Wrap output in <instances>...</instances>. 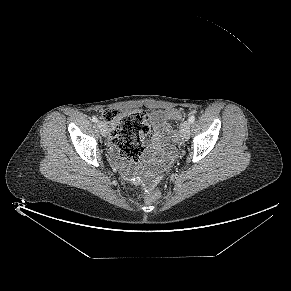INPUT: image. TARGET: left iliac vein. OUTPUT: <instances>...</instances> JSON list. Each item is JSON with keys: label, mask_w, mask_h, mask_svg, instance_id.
I'll return each mask as SVG.
<instances>
[{"label": "left iliac vein", "mask_w": 291, "mask_h": 291, "mask_svg": "<svg viewBox=\"0 0 291 291\" xmlns=\"http://www.w3.org/2000/svg\"><path fill=\"white\" fill-rule=\"evenodd\" d=\"M179 134L182 140L186 141L190 137V123L189 121H184L180 125Z\"/></svg>", "instance_id": "obj_1"}]
</instances>
